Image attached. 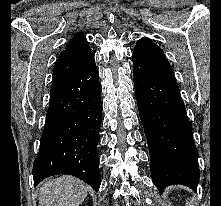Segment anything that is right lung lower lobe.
<instances>
[{
	"label": "right lung lower lobe",
	"instance_id": "98d812e1",
	"mask_svg": "<svg viewBox=\"0 0 221 206\" xmlns=\"http://www.w3.org/2000/svg\"><path fill=\"white\" fill-rule=\"evenodd\" d=\"M101 85L95 62L51 86L46 123L33 164L34 185L57 174L73 175L99 190L97 155Z\"/></svg>",
	"mask_w": 221,
	"mask_h": 206
}]
</instances>
